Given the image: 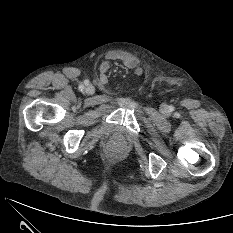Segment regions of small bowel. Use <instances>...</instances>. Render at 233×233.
Instances as JSON below:
<instances>
[{"label":"small bowel","instance_id":"1","mask_svg":"<svg viewBox=\"0 0 233 233\" xmlns=\"http://www.w3.org/2000/svg\"><path fill=\"white\" fill-rule=\"evenodd\" d=\"M114 61L122 62L127 68L133 69L137 75H140L142 72L137 58L123 50H116L108 53L106 59L100 65V70L102 72L108 71Z\"/></svg>","mask_w":233,"mask_h":233}]
</instances>
